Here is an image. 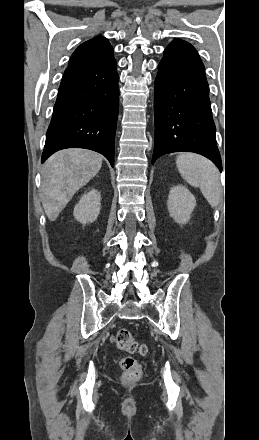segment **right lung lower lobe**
Listing matches in <instances>:
<instances>
[{
  "mask_svg": "<svg viewBox=\"0 0 259 440\" xmlns=\"http://www.w3.org/2000/svg\"><path fill=\"white\" fill-rule=\"evenodd\" d=\"M114 56L65 70L46 134L41 162L65 148L103 154L114 167L119 76Z\"/></svg>",
  "mask_w": 259,
  "mask_h": 440,
  "instance_id": "obj_1",
  "label": "right lung lower lobe"
}]
</instances>
